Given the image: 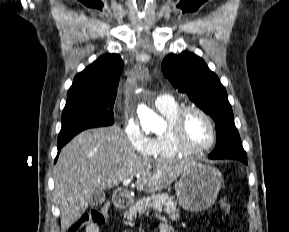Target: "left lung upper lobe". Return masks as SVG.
Instances as JSON below:
<instances>
[{
    "label": "left lung upper lobe",
    "instance_id": "left-lung-upper-lobe-1",
    "mask_svg": "<svg viewBox=\"0 0 289 232\" xmlns=\"http://www.w3.org/2000/svg\"><path fill=\"white\" fill-rule=\"evenodd\" d=\"M164 76L181 93H186L216 123L217 143L211 159L244 158L227 92L204 60L193 53L169 54L162 62Z\"/></svg>",
    "mask_w": 289,
    "mask_h": 232
}]
</instances>
